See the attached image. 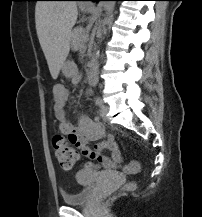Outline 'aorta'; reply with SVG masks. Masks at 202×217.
<instances>
[{
    "label": "aorta",
    "instance_id": "aorta-1",
    "mask_svg": "<svg viewBox=\"0 0 202 217\" xmlns=\"http://www.w3.org/2000/svg\"><path fill=\"white\" fill-rule=\"evenodd\" d=\"M102 7L105 11V18L103 20V27H102V33H105L106 30V24L110 21L111 17L113 16V11L115 9V2L114 1H104L102 2Z\"/></svg>",
    "mask_w": 202,
    "mask_h": 217
}]
</instances>
